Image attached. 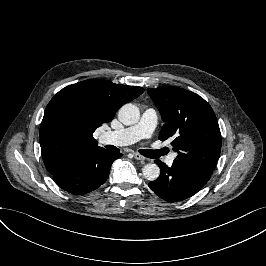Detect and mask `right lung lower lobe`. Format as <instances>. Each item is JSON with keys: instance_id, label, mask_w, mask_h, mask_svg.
Here are the masks:
<instances>
[{"instance_id": "obj_1", "label": "right lung lower lobe", "mask_w": 266, "mask_h": 266, "mask_svg": "<svg viewBox=\"0 0 266 266\" xmlns=\"http://www.w3.org/2000/svg\"><path fill=\"white\" fill-rule=\"evenodd\" d=\"M121 156L101 147L73 154L52 174L53 179L63 190L83 195L107 180L113 161Z\"/></svg>"}]
</instances>
